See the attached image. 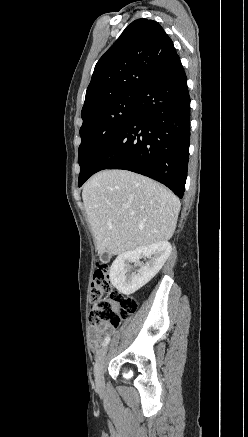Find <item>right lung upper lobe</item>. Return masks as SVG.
I'll list each match as a JSON object with an SVG mask.
<instances>
[{"label": "right lung upper lobe", "instance_id": "1", "mask_svg": "<svg viewBox=\"0 0 248 437\" xmlns=\"http://www.w3.org/2000/svg\"><path fill=\"white\" fill-rule=\"evenodd\" d=\"M176 56L172 40L157 22L143 18L133 21L97 62L82 119L119 97L137 95Z\"/></svg>", "mask_w": 248, "mask_h": 437}]
</instances>
